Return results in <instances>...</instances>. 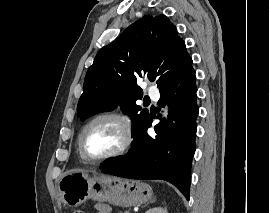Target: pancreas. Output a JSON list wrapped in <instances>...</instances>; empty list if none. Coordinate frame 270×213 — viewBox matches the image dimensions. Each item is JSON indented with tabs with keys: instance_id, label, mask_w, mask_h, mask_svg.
<instances>
[{
	"instance_id": "pancreas-1",
	"label": "pancreas",
	"mask_w": 270,
	"mask_h": 213,
	"mask_svg": "<svg viewBox=\"0 0 270 213\" xmlns=\"http://www.w3.org/2000/svg\"><path fill=\"white\" fill-rule=\"evenodd\" d=\"M119 213H122V212H119ZM123 213H130L129 211H126V212H123Z\"/></svg>"
}]
</instances>
